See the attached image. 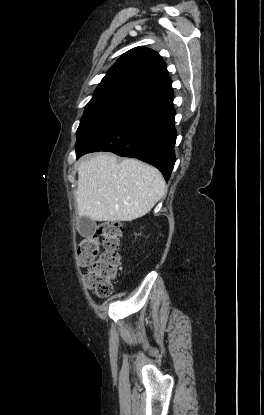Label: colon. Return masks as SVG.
<instances>
[{
	"instance_id": "colon-1",
	"label": "colon",
	"mask_w": 264,
	"mask_h": 415,
	"mask_svg": "<svg viewBox=\"0 0 264 415\" xmlns=\"http://www.w3.org/2000/svg\"><path fill=\"white\" fill-rule=\"evenodd\" d=\"M123 232V224L108 222L78 245V265L85 269L84 285L98 297H107L112 292L120 269L118 248ZM100 244L102 252H99Z\"/></svg>"
}]
</instances>
